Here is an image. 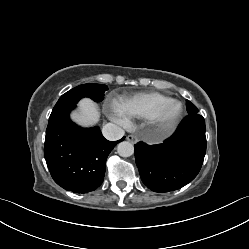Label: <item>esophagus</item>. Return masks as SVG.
Returning a JSON list of instances; mask_svg holds the SVG:
<instances>
[{
    "label": "esophagus",
    "instance_id": "34e87169",
    "mask_svg": "<svg viewBox=\"0 0 249 249\" xmlns=\"http://www.w3.org/2000/svg\"><path fill=\"white\" fill-rule=\"evenodd\" d=\"M127 140L133 144L138 142V138L135 135H128Z\"/></svg>",
    "mask_w": 249,
    "mask_h": 249
}]
</instances>
